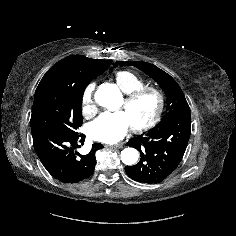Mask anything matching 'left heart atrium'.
Here are the masks:
<instances>
[{"label": "left heart atrium", "mask_w": 236, "mask_h": 236, "mask_svg": "<svg viewBox=\"0 0 236 236\" xmlns=\"http://www.w3.org/2000/svg\"><path fill=\"white\" fill-rule=\"evenodd\" d=\"M131 126L124 111L107 112L90 124L88 134L93 140L113 144L121 140Z\"/></svg>", "instance_id": "left-heart-atrium-1"}]
</instances>
